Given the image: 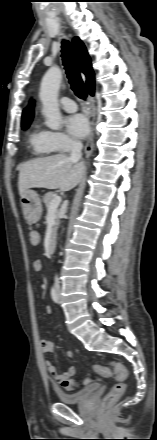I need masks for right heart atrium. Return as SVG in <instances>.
<instances>
[{"instance_id":"1","label":"right heart atrium","mask_w":157,"mask_h":440,"mask_svg":"<svg viewBox=\"0 0 157 440\" xmlns=\"http://www.w3.org/2000/svg\"><path fill=\"white\" fill-rule=\"evenodd\" d=\"M49 140L55 150L67 151L76 145V142L63 132L50 131Z\"/></svg>"}]
</instances>
